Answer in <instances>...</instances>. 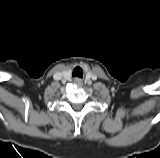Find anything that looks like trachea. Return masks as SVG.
I'll return each mask as SVG.
<instances>
[{
    "mask_svg": "<svg viewBox=\"0 0 160 158\" xmlns=\"http://www.w3.org/2000/svg\"><path fill=\"white\" fill-rule=\"evenodd\" d=\"M73 76L74 77H82L83 76V71H82V69L81 68H79V67H76V68H74V70H73Z\"/></svg>",
    "mask_w": 160,
    "mask_h": 158,
    "instance_id": "3493384b",
    "label": "trachea"
}]
</instances>
